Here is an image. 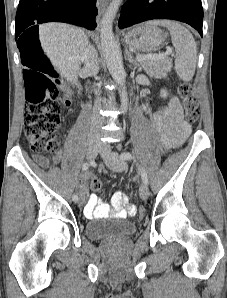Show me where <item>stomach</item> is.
Here are the masks:
<instances>
[{"instance_id":"stomach-1","label":"stomach","mask_w":227,"mask_h":298,"mask_svg":"<svg viewBox=\"0 0 227 298\" xmlns=\"http://www.w3.org/2000/svg\"><path fill=\"white\" fill-rule=\"evenodd\" d=\"M166 36L156 25L148 22L131 29L124 36L125 43L142 52H155L165 43Z\"/></svg>"}]
</instances>
